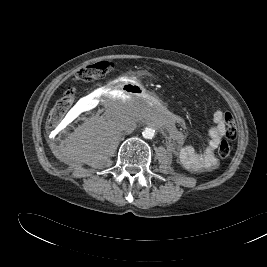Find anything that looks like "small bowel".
I'll list each match as a JSON object with an SVG mask.
<instances>
[{"label":"small bowel","mask_w":267,"mask_h":267,"mask_svg":"<svg viewBox=\"0 0 267 267\" xmlns=\"http://www.w3.org/2000/svg\"><path fill=\"white\" fill-rule=\"evenodd\" d=\"M228 114L220 109L213 112V125L208 130L209 141L202 150L192 146H183L177 151L179 162L188 170L193 172H202L212 170L217 167L218 160L215 156L220 141L226 136ZM172 135L180 137L178 131L170 124Z\"/></svg>","instance_id":"obj_1"}]
</instances>
